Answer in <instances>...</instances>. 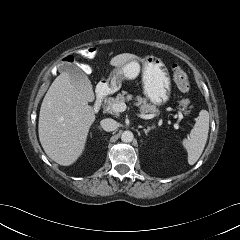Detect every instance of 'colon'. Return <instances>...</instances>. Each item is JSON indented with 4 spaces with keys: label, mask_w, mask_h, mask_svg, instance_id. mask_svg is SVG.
I'll return each mask as SVG.
<instances>
[{
    "label": "colon",
    "mask_w": 240,
    "mask_h": 240,
    "mask_svg": "<svg viewBox=\"0 0 240 240\" xmlns=\"http://www.w3.org/2000/svg\"><path fill=\"white\" fill-rule=\"evenodd\" d=\"M95 53H96L95 49L91 47L84 48L78 52L79 55L86 58L94 57ZM73 60H74L73 56L69 55L63 59V62L71 63L73 62ZM172 73L173 80L177 85L178 89L182 92H188L190 90V81L185 70L182 67L175 65L172 69Z\"/></svg>",
    "instance_id": "colon-1"
}]
</instances>
